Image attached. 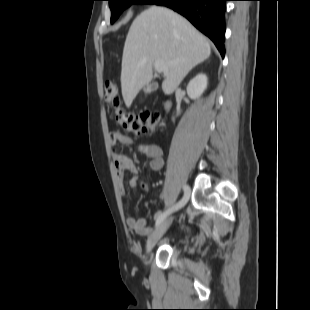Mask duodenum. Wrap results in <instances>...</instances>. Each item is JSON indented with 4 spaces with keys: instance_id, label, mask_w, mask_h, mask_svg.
<instances>
[{
    "instance_id": "410a0bca",
    "label": "duodenum",
    "mask_w": 310,
    "mask_h": 310,
    "mask_svg": "<svg viewBox=\"0 0 310 310\" xmlns=\"http://www.w3.org/2000/svg\"><path fill=\"white\" fill-rule=\"evenodd\" d=\"M170 108V104L169 103H166L165 104V110H168Z\"/></svg>"
}]
</instances>
